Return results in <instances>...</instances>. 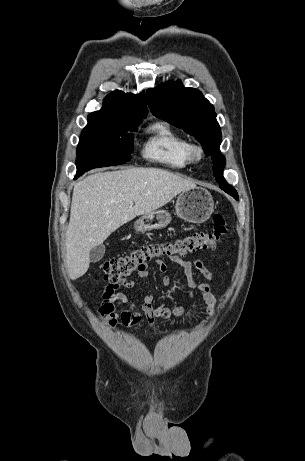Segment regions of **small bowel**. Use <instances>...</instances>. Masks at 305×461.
<instances>
[{
    "mask_svg": "<svg viewBox=\"0 0 305 461\" xmlns=\"http://www.w3.org/2000/svg\"><path fill=\"white\" fill-rule=\"evenodd\" d=\"M170 261L178 265L184 272L188 284V296L193 298L198 295L206 305V317L195 327L200 329L205 326L216 311L217 299L213 294V288L210 283H198L194 278V271H199L208 281L213 279V274L208 266L201 260L193 261L185 260L179 256L169 258ZM156 267L162 275L161 283L164 287L171 286V280L166 275L168 266L163 261H157ZM139 278H147L149 272L146 268L137 271ZM135 287V282L130 279H125L118 282H113L106 285L101 293V302L98 307V314L104 319L105 325L112 330L118 321L124 325L131 326L139 324L145 318L150 327H154L157 319H169L174 316H181L186 313L187 306L179 305L169 307L166 304L154 306V298L151 294L142 296L138 305L130 304L126 309L118 313L123 305L127 303V295L121 291L131 290Z\"/></svg>",
    "mask_w": 305,
    "mask_h": 461,
    "instance_id": "c3829d8e",
    "label": "small bowel"
}]
</instances>
